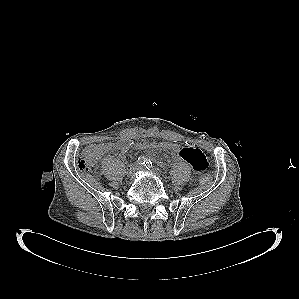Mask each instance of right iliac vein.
<instances>
[{
  "label": "right iliac vein",
  "instance_id": "obj_1",
  "mask_svg": "<svg viewBox=\"0 0 299 299\" xmlns=\"http://www.w3.org/2000/svg\"><path fill=\"white\" fill-rule=\"evenodd\" d=\"M136 169H137L136 165H130L127 168L126 177H128V178L132 177Z\"/></svg>",
  "mask_w": 299,
  "mask_h": 299
}]
</instances>
